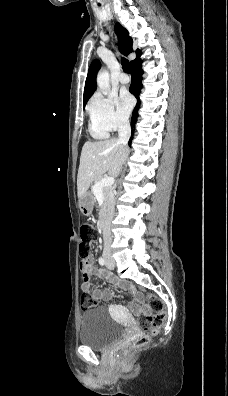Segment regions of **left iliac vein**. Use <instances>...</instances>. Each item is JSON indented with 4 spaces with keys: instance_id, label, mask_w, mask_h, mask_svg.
<instances>
[{
    "instance_id": "obj_1",
    "label": "left iliac vein",
    "mask_w": 228,
    "mask_h": 396,
    "mask_svg": "<svg viewBox=\"0 0 228 396\" xmlns=\"http://www.w3.org/2000/svg\"><path fill=\"white\" fill-rule=\"evenodd\" d=\"M107 268H108V269H112V266H110V265L107 263Z\"/></svg>"
}]
</instances>
